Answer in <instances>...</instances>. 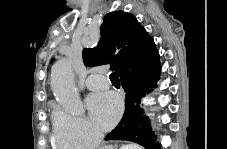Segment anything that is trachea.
<instances>
[{
	"label": "trachea",
	"mask_w": 227,
	"mask_h": 149,
	"mask_svg": "<svg viewBox=\"0 0 227 149\" xmlns=\"http://www.w3.org/2000/svg\"><path fill=\"white\" fill-rule=\"evenodd\" d=\"M109 78H110V81L113 85H119L120 84V79H119V76L116 72H112L109 75Z\"/></svg>",
	"instance_id": "trachea-1"
}]
</instances>
